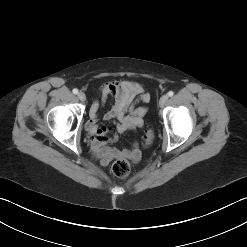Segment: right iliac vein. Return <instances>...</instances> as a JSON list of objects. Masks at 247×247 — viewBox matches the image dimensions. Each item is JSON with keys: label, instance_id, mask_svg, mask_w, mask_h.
<instances>
[{"label": "right iliac vein", "instance_id": "1", "mask_svg": "<svg viewBox=\"0 0 247 247\" xmlns=\"http://www.w3.org/2000/svg\"><path fill=\"white\" fill-rule=\"evenodd\" d=\"M78 98L81 100V101H85L86 100V95L83 93V92H79L77 94Z\"/></svg>", "mask_w": 247, "mask_h": 247}]
</instances>
